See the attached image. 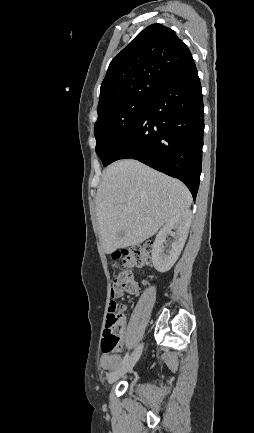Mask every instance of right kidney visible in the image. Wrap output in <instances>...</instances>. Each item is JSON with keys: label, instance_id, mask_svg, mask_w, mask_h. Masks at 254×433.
Wrapping results in <instances>:
<instances>
[{"label": "right kidney", "instance_id": "right-kidney-1", "mask_svg": "<svg viewBox=\"0 0 254 433\" xmlns=\"http://www.w3.org/2000/svg\"><path fill=\"white\" fill-rule=\"evenodd\" d=\"M191 220L192 213L186 210L168 221L158 232L152 247V262L157 271L167 272L174 265L186 242ZM172 229L176 232L172 233ZM168 234H172L174 241L169 248H165Z\"/></svg>", "mask_w": 254, "mask_h": 433}]
</instances>
